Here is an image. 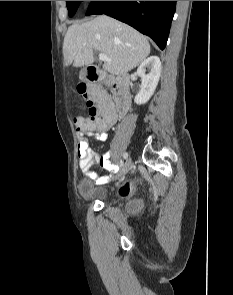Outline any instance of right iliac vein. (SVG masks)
Masks as SVG:
<instances>
[{
	"label": "right iliac vein",
	"mask_w": 233,
	"mask_h": 295,
	"mask_svg": "<svg viewBox=\"0 0 233 295\" xmlns=\"http://www.w3.org/2000/svg\"><path fill=\"white\" fill-rule=\"evenodd\" d=\"M130 167H131V158H128L121 170V173L119 174V177L124 176L129 171Z\"/></svg>",
	"instance_id": "1"
}]
</instances>
